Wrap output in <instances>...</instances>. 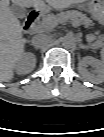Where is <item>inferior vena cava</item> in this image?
Returning a JSON list of instances; mask_svg holds the SVG:
<instances>
[{
  "mask_svg": "<svg viewBox=\"0 0 104 137\" xmlns=\"http://www.w3.org/2000/svg\"><path fill=\"white\" fill-rule=\"evenodd\" d=\"M32 45L35 47V48H42L44 47V45L48 42V36L44 35V34H38V35H35L33 38H32Z\"/></svg>",
  "mask_w": 104,
  "mask_h": 137,
  "instance_id": "1",
  "label": "inferior vena cava"
}]
</instances>
